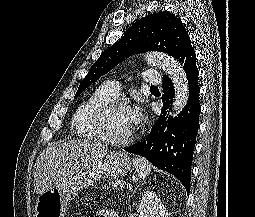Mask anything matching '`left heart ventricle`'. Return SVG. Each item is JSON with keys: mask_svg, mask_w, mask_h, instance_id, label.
Here are the masks:
<instances>
[{"mask_svg": "<svg viewBox=\"0 0 255 217\" xmlns=\"http://www.w3.org/2000/svg\"><path fill=\"white\" fill-rule=\"evenodd\" d=\"M109 129L117 138H124L133 132L134 127L129 118L128 107H118L111 112Z\"/></svg>", "mask_w": 255, "mask_h": 217, "instance_id": "b2bd125f", "label": "left heart ventricle"}]
</instances>
